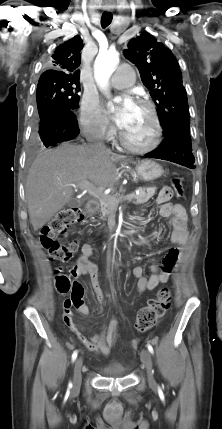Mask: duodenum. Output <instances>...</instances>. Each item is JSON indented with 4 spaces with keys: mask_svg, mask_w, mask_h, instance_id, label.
I'll list each match as a JSON object with an SVG mask.
<instances>
[{
    "mask_svg": "<svg viewBox=\"0 0 222 429\" xmlns=\"http://www.w3.org/2000/svg\"><path fill=\"white\" fill-rule=\"evenodd\" d=\"M99 209V203L95 200H90L87 202L85 207V212L88 215L95 213Z\"/></svg>",
    "mask_w": 222,
    "mask_h": 429,
    "instance_id": "obj_1",
    "label": "duodenum"
}]
</instances>
